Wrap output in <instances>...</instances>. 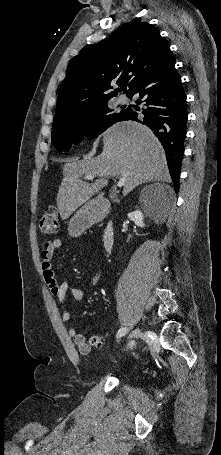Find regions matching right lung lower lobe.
<instances>
[{
  "instance_id": "right-lung-lower-lobe-1",
  "label": "right lung lower lobe",
  "mask_w": 221,
  "mask_h": 455,
  "mask_svg": "<svg viewBox=\"0 0 221 455\" xmlns=\"http://www.w3.org/2000/svg\"><path fill=\"white\" fill-rule=\"evenodd\" d=\"M133 95H139L138 104L143 102L146 106L140 111L144 118L139 120V113L128 108L121 121H138L153 130L165 149L169 172L177 192L188 114L186 95L180 75L175 69V56L170 49L163 53L128 97Z\"/></svg>"
}]
</instances>
